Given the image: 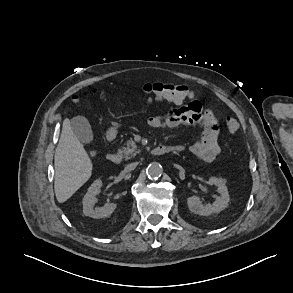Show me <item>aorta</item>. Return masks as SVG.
<instances>
[{
    "mask_svg": "<svg viewBox=\"0 0 293 293\" xmlns=\"http://www.w3.org/2000/svg\"><path fill=\"white\" fill-rule=\"evenodd\" d=\"M146 173L149 178L158 179L163 173L162 165L158 162H152L147 166Z\"/></svg>",
    "mask_w": 293,
    "mask_h": 293,
    "instance_id": "aorta-1",
    "label": "aorta"
}]
</instances>
